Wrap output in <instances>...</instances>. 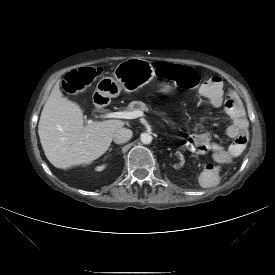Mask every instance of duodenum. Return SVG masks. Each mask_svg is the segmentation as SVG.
Wrapping results in <instances>:
<instances>
[{"mask_svg": "<svg viewBox=\"0 0 275 275\" xmlns=\"http://www.w3.org/2000/svg\"><path fill=\"white\" fill-rule=\"evenodd\" d=\"M91 99L100 109L105 108L110 101V98L107 94L101 93L99 91L94 92L91 96Z\"/></svg>", "mask_w": 275, "mask_h": 275, "instance_id": "duodenum-1", "label": "duodenum"}]
</instances>
